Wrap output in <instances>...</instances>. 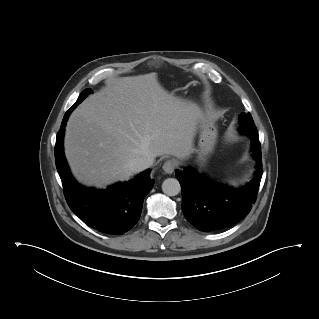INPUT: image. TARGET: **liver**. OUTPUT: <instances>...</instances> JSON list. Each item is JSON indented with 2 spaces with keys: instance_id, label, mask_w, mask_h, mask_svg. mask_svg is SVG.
I'll list each match as a JSON object with an SVG mask.
<instances>
[{
  "instance_id": "1",
  "label": "liver",
  "mask_w": 319,
  "mask_h": 319,
  "mask_svg": "<svg viewBox=\"0 0 319 319\" xmlns=\"http://www.w3.org/2000/svg\"><path fill=\"white\" fill-rule=\"evenodd\" d=\"M201 115L195 104L169 94L157 73L116 78L72 112L65 155L79 182L105 188L129 180L135 158H188Z\"/></svg>"
}]
</instances>
